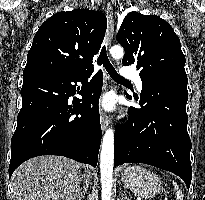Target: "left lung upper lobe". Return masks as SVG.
<instances>
[{
    "label": "left lung upper lobe",
    "mask_w": 205,
    "mask_h": 200,
    "mask_svg": "<svg viewBox=\"0 0 205 200\" xmlns=\"http://www.w3.org/2000/svg\"><path fill=\"white\" fill-rule=\"evenodd\" d=\"M125 55L122 64H135L142 81L170 74H185V56L172 27L159 16L130 12L117 35Z\"/></svg>",
    "instance_id": "1"
}]
</instances>
